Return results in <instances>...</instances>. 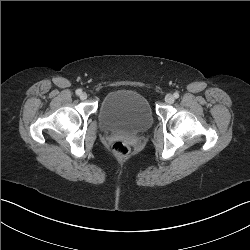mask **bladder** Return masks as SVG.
Here are the masks:
<instances>
[{
	"mask_svg": "<svg viewBox=\"0 0 250 250\" xmlns=\"http://www.w3.org/2000/svg\"><path fill=\"white\" fill-rule=\"evenodd\" d=\"M98 116L103 130L127 134L145 132L153 122L146 97L128 89L108 93L100 104Z\"/></svg>",
	"mask_w": 250,
	"mask_h": 250,
	"instance_id": "obj_1",
	"label": "bladder"
}]
</instances>
